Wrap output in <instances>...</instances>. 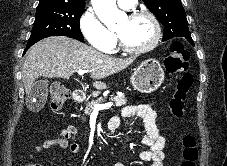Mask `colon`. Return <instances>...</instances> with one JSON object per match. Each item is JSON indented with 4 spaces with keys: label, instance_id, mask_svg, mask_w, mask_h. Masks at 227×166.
<instances>
[{
    "label": "colon",
    "instance_id": "5ec220e1",
    "mask_svg": "<svg viewBox=\"0 0 227 166\" xmlns=\"http://www.w3.org/2000/svg\"><path fill=\"white\" fill-rule=\"evenodd\" d=\"M189 52L184 45L176 41L170 47V54L166 60V69L169 73L183 72L177 86L170 98L169 109L173 116L182 118L185 112L186 96L193 84V75L188 70ZM69 93L61 85L54 84L50 87V105L53 111H59L67 101ZM182 162L180 166H196L198 149L195 138L185 135L182 139ZM27 166H39L29 164Z\"/></svg>",
    "mask_w": 227,
    "mask_h": 166
}]
</instances>
